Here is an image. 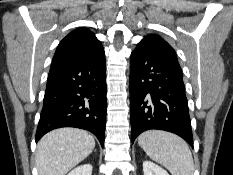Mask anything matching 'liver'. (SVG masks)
Instances as JSON below:
<instances>
[{
  "label": "liver",
  "mask_w": 233,
  "mask_h": 175,
  "mask_svg": "<svg viewBox=\"0 0 233 175\" xmlns=\"http://www.w3.org/2000/svg\"><path fill=\"white\" fill-rule=\"evenodd\" d=\"M95 140L85 130L59 128L44 135L37 146L36 167L39 175H65L87 158Z\"/></svg>",
  "instance_id": "liver-1"
}]
</instances>
